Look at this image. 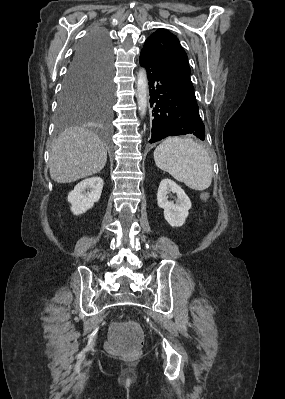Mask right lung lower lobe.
Returning a JSON list of instances; mask_svg holds the SVG:
<instances>
[{"label":"right lung lower lobe","instance_id":"obj_1","mask_svg":"<svg viewBox=\"0 0 285 399\" xmlns=\"http://www.w3.org/2000/svg\"><path fill=\"white\" fill-rule=\"evenodd\" d=\"M112 59L109 36L102 29H93L75 50L68 73L101 71L111 75Z\"/></svg>","mask_w":285,"mask_h":399}]
</instances>
